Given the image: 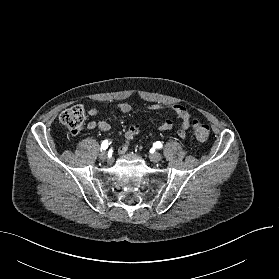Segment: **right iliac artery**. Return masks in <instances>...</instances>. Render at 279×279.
Listing matches in <instances>:
<instances>
[{
  "mask_svg": "<svg viewBox=\"0 0 279 279\" xmlns=\"http://www.w3.org/2000/svg\"><path fill=\"white\" fill-rule=\"evenodd\" d=\"M109 145L108 140H104L101 144V150H106Z\"/></svg>",
  "mask_w": 279,
  "mask_h": 279,
  "instance_id": "1",
  "label": "right iliac artery"
}]
</instances>
